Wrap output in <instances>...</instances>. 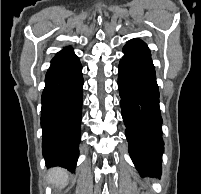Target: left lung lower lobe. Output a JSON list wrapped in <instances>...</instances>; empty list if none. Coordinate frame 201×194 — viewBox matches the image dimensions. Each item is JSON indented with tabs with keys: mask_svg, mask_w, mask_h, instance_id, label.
Instances as JSON below:
<instances>
[{
	"mask_svg": "<svg viewBox=\"0 0 201 194\" xmlns=\"http://www.w3.org/2000/svg\"><path fill=\"white\" fill-rule=\"evenodd\" d=\"M123 53L118 67V88L129 153L141 175L160 178L163 121L150 50L144 42L133 39L126 43Z\"/></svg>",
	"mask_w": 201,
	"mask_h": 194,
	"instance_id": "1",
	"label": "left lung lower lobe"
}]
</instances>
